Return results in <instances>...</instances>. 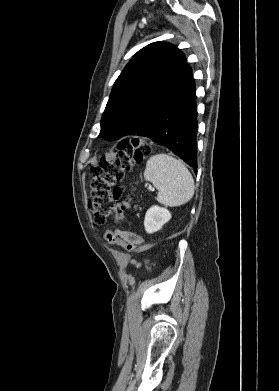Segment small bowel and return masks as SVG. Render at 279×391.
Segmentation results:
<instances>
[{
    "label": "small bowel",
    "instance_id": "obj_1",
    "mask_svg": "<svg viewBox=\"0 0 279 391\" xmlns=\"http://www.w3.org/2000/svg\"><path fill=\"white\" fill-rule=\"evenodd\" d=\"M125 206L128 207V204L127 203H124ZM112 233H114L117 237L121 238V239H124L128 242H131L135 245H141L144 240L141 236H139L138 234L136 233H133V232H130V231H123V230H114V231H111ZM137 266L139 264H136Z\"/></svg>",
    "mask_w": 279,
    "mask_h": 391
}]
</instances>
